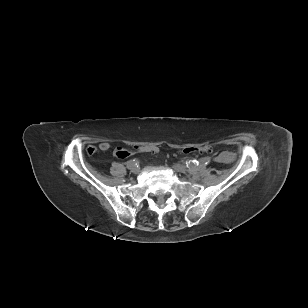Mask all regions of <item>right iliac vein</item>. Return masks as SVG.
Here are the masks:
<instances>
[{
  "mask_svg": "<svg viewBox=\"0 0 308 308\" xmlns=\"http://www.w3.org/2000/svg\"><path fill=\"white\" fill-rule=\"evenodd\" d=\"M131 171L134 173V174H137V173H139V168L138 167H133L132 169H131Z\"/></svg>",
  "mask_w": 308,
  "mask_h": 308,
  "instance_id": "63e3f726",
  "label": "right iliac vein"
}]
</instances>
